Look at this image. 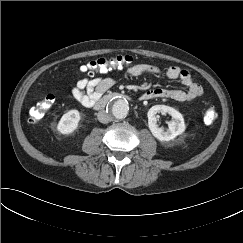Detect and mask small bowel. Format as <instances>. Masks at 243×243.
<instances>
[{
    "mask_svg": "<svg viewBox=\"0 0 243 243\" xmlns=\"http://www.w3.org/2000/svg\"><path fill=\"white\" fill-rule=\"evenodd\" d=\"M143 74L159 76L162 71L150 64H136L125 71L127 77H137ZM165 76L172 80H179L187 90L150 88L142 96V100L154 98H169L177 102H193L202 95V88L198 85L187 70L179 67H170L165 71ZM115 80L111 77L81 78L71 88L68 98L78 102L84 107H92L101 95L111 88Z\"/></svg>",
    "mask_w": 243,
    "mask_h": 243,
    "instance_id": "c3829d8e",
    "label": "small bowel"
}]
</instances>
